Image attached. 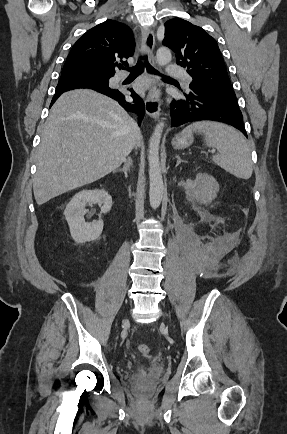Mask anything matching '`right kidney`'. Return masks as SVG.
Wrapping results in <instances>:
<instances>
[{
    "instance_id": "right-kidney-1",
    "label": "right kidney",
    "mask_w": 287,
    "mask_h": 434,
    "mask_svg": "<svg viewBox=\"0 0 287 434\" xmlns=\"http://www.w3.org/2000/svg\"><path fill=\"white\" fill-rule=\"evenodd\" d=\"M100 204L101 212L107 213L112 207V197L104 189L83 190L77 193L67 204L64 215L70 228V233L76 243L96 240L102 233V219L86 222L84 214L86 204Z\"/></svg>"
}]
</instances>
